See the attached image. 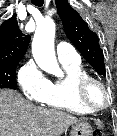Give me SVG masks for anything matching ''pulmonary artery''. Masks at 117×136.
<instances>
[{"mask_svg": "<svg viewBox=\"0 0 117 136\" xmlns=\"http://www.w3.org/2000/svg\"><path fill=\"white\" fill-rule=\"evenodd\" d=\"M57 57L60 62H78L80 61L79 54L74 48L66 42H59L56 46Z\"/></svg>", "mask_w": 117, "mask_h": 136, "instance_id": "e3ab8cb5", "label": "pulmonary artery"}]
</instances>
